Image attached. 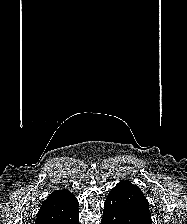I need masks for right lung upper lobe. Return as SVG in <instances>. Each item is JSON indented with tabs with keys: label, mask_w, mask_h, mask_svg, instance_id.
Wrapping results in <instances>:
<instances>
[{
	"label": "right lung upper lobe",
	"mask_w": 187,
	"mask_h": 224,
	"mask_svg": "<svg viewBox=\"0 0 187 224\" xmlns=\"http://www.w3.org/2000/svg\"><path fill=\"white\" fill-rule=\"evenodd\" d=\"M77 210L76 197L68 190H57L42 203L35 224H63Z\"/></svg>",
	"instance_id": "obj_1"
}]
</instances>
